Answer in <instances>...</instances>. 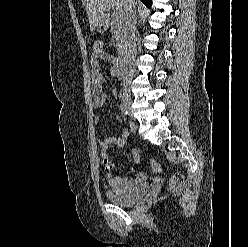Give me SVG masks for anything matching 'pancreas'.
Listing matches in <instances>:
<instances>
[{
	"label": "pancreas",
	"mask_w": 248,
	"mask_h": 247,
	"mask_svg": "<svg viewBox=\"0 0 248 247\" xmlns=\"http://www.w3.org/2000/svg\"><path fill=\"white\" fill-rule=\"evenodd\" d=\"M110 31L113 39L117 42V53L119 56H122L125 52L127 44V28L122 15L112 17Z\"/></svg>",
	"instance_id": "obj_1"
}]
</instances>
